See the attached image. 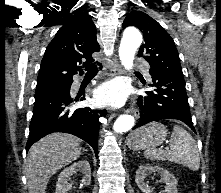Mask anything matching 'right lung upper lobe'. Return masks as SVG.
<instances>
[{
  "instance_id": "right-lung-upper-lobe-1",
  "label": "right lung upper lobe",
  "mask_w": 221,
  "mask_h": 193,
  "mask_svg": "<svg viewBox=\"0 0 221 193\" xmlns=\"http://www.w3.org/2000/svg\"><path fill=\"white\" fill-rule=\"evenodd\" d=\"M99 50L92 19L83 13L72 15L46 48L37 87L72 81L74 75L83 74L82 61L93 62L92 53Z\"/></svg>"
}]
</instances>
